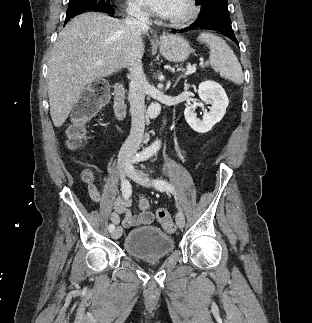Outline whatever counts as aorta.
I'll list each match as a JSON object with an SVG mask.
<instances>
[{"instance_id": "1", "label": "aorta", "mask_w": 312, "mask_h": 323, "mask_svg": "<svg viewBox=\"0 0 312 323\" xmlns=\"http://www.w3.org/2000/svg\"><path fill=\"white\" fill-rule=\"evenodd\" d=\"M160 112H161V106L156 102V104H151V106H149L147 114L149 118H157ZM160 146H161L160 140H156V142H154L152 146H149L148 148L149 154H156V152L160 150Z\"/></svg>"}]
</instances>
